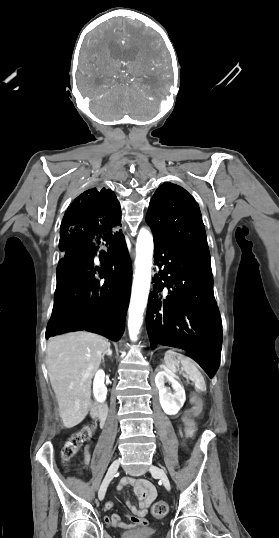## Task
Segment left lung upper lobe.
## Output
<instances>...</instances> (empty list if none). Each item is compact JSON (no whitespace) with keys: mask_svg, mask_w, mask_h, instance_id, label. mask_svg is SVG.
I'll list each match as a JSON object with an SVG mask.
<instances>
[{"mask_svg":"<svg viewBox=\"0 0 279 538\" xmlns=\"http://www.w3.org/2000/svg\"><path fill=\"white\" fill-rule=\"evenodd\" d=\"M146 222L155 242L209 251L199 206L178 185L164 183L157 189L150 201Z\"/></svg>","mask_w":279,"mask_h":538,"instance_id":"left-lung-upper-lobe-1","label":"left lung upper lobe"}]
</instances>
